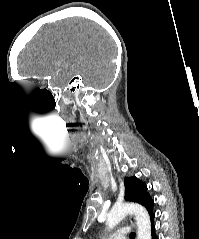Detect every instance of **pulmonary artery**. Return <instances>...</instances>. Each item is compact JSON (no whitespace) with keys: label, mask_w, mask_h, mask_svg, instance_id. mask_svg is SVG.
I'll use <instances>...</instances> for the list:
<instances>
[{"label":"pulmonary artery","mask_w":199,"mask_h":239,"mask_svg":"<svg viewBox=\"0 0 199 239\" xmlns=\"http://www.w3.org/2000/svg\"><path fill=\"white\" fill-rule=\"evenodd\" d=\"M130 230V226H126L120 230H118L117 232H115L114 234H112L109 239H126V233L129 232Z\"/></svg>","instance_id":"obj_1"}]
</instances>
